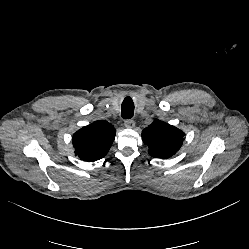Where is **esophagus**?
Here are the masks:
<instances>
[{
	"label": "esophagus",
	"instance_id": "1",
	"mask_svg": "<svg viewBox=\"0 0 249 249\" xmlns=\"http://www.w3.org/2000/svg\"><path fill=\"white\" fill-rule=\"evenodd\" d=\"M124 125L126 128H134L135 122L133 119H126Z\"/></svg>",
	"mask_w": 249,
	"mask_h": 249
}]
</instances>
